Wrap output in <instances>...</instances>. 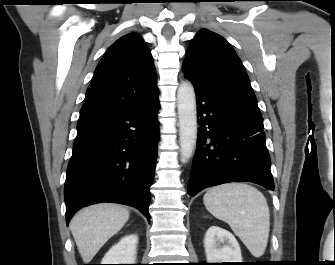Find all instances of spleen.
I'll return each mask as SVG.
<instances>
[{"mask_svg":"<svg viewBox=\"0 0 335 265\" xmlns=\"http://www.w3.org/2000/svg\"><path fill=\"white\" fill-rule=\"evenodd\" d=\"M206 209L229 224L254 257L264 254L270 231V212L264 195L245 183L210 188L203 197Z\"/></svg>","mask_w":335,"mask_h":265,"instance_id":"obj_1","label":"spleen"}]
</instances>
